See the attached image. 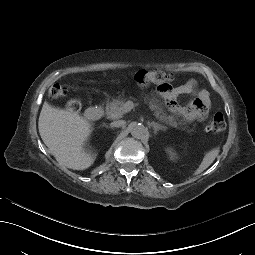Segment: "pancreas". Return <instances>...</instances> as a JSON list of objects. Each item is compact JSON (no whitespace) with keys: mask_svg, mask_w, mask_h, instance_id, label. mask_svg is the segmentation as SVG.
Returning <instances> with one entry per match:
<instances>
[{"mask_svg":"<svg viewBox=\"0 0 255 255\" xmlns=\"http://www.w3.org/2000/svg\"><path fill=\"white\" fill-rule=\"evenodd\" d=\"M124 101L120 99H112V101H108L106 104V115L110 119H119L125 114L123 110ZM150 109L154 111L155 117L170 126L176 127L177 122L173 116H168L163 113L162 110L153 104H150Z\"/></svg>","mask_w":255,"mask_h":255,"instance_id":"pancreas-1","label":"pancreas"}]
</instances>
